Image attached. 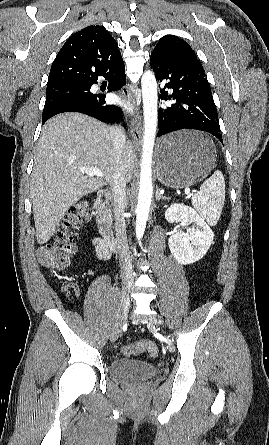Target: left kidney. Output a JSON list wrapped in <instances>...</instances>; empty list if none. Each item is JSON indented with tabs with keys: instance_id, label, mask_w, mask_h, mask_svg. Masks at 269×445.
Segmentation results:
<instances>
[{
	"instance_id": "obj_1",
	"label": "left kidney",
	"mask_w": 269,
	"mask_h": 445,
	"mask_svg": "<svg viewBox=\"0 0 269 445\" xmlns=\"http://www.w3.org/2000/svg\"><path fill=\"white\" fill-rule=\"evenodd\" d=\"M165 219L169 223L181 222L175 226V234L168 240L173 257L182 265L199 261L207 253L214 239V233L203 218L191 207L173 204L165 211ZM193 223L189 233L179 230L180 226Z\"/></svg>"
}]
</instances>
